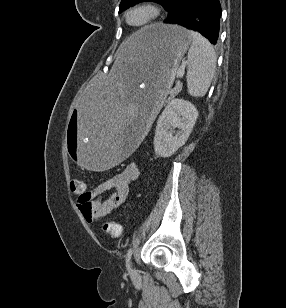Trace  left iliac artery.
Returning a JSON list of instances; mask_svg holds the SVG:
<instances>
[{
  "instance_id": "1",
  "label": "left iliac artery",
  "mask_w": 286,
  "mask_h": 308,
  "mask_svg": "<svg viewBox=\"0 0 286 308\" xmlns=\"http://www.w3.org/2000/svg\"><path fill=\"white\" fill-rule=\"evenodd\" d=\"M132 248H129L128 251H127V254H126V266L127 268L129 269V261L131 259V256H132Z\"/></svg>"
}]
</instances>
